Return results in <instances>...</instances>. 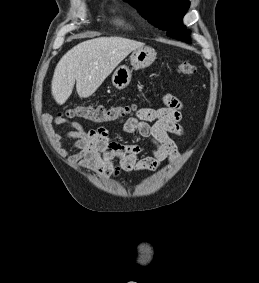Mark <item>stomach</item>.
Wrapping results in <instances>:
<instances>
[{
  "label": "stomach",
  "mask_w": 259,
  "mask_h": 283,
  "mask_svg": "<svg viewBox=\"0 0 259 283\" xmlns=\"http://www.w3.org/2000/svg\"><path fill=\"white\" fill-rule=\"evenodd\" d=\"M156 59V51L148 46L135 49L130 56V63L134 69L150 66ZM132 78V70L123 65L118 67L112 75V84L117 89L127 87Z\"/></svg>",
  "instance_id": "1"
}]
</instances>
